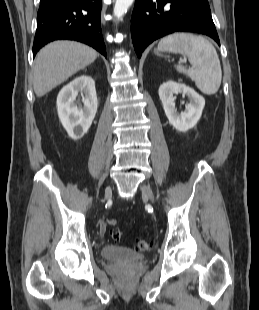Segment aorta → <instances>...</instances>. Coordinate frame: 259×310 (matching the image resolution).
<instances>
[{"label": "aorta", "instance_id": "762f6f07", "mask_svg": "<svg viewBox=\"0 0 259 310\" xmlns=\"http://www.w3.org/2000/svg\"><path fill=\"white\" fill-rule=\"evenodd\" d=\"M134 0H116L113 14L117 19H121L132 5Z\"/></svg>", "mask_w": 259, "mask_h": 310}]
</instances>
